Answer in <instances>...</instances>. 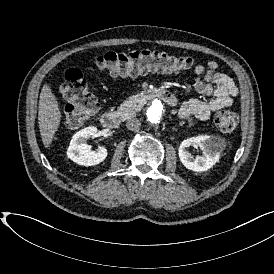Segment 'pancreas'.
I'll use <instances>...</instances> for the list:
<instances>
[{
	"instance_id": "pancreas-1",
	"label": "pancreas",
	"mask_w": 274,
	"mask_h": 274,
	"mask_svg": "<svg viewBox=\"0 0 274 274\" xmlns=\"http://www.w3.org/2000/svg\"><path fill=\"white\" fill-rule=\"evenodd\" d=\"M141 108L142 105L135 101V96H131L120 105L117 112L120 114L122 120H126L134 117L136 112L140 111Z\"/></svg>"
}]
</instances>
